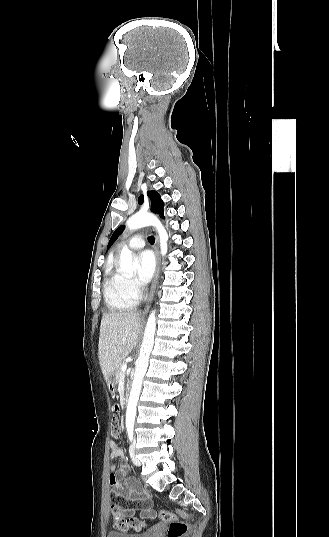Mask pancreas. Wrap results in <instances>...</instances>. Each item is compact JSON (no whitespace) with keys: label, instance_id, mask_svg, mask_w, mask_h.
<instances>
[{"label":"pancreas","instance_id":"1","mask_svg":"<svg viewBox=\"0 0 329 537\" xmlns=\"http://www.w3.org/2000/svg\"><path fill=\"white\" fill-rule=\"evenodd\" d=\"M122 362L119 364L118 368L115 371V380L116 382H119L122 378L123 372L121 370Z\"/></svg>","mask_w":329,"mask_h":537}]
</instances>
